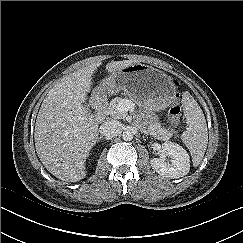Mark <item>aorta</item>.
Instances as JSON below:
<instances>
[{
	"label": "aorta",
	"mask_w": 243,
	"mask_h": 243,
	"mask_svg": "<svg viewBox=\"0 0 243 243\" xmlns=\"http://www.w3.org/2000/svg\"><path fill=\"white\" fill-rule=\"evenodd\" d=\"M122 137L124 141H131L133 139V132L130 130H125Z\"/></svg>",
	"instance_id": "aorta-1"
}]
</instances>
